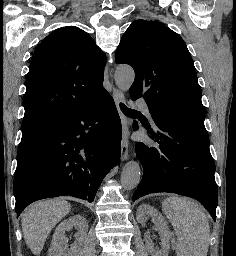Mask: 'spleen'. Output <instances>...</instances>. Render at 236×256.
I'll list each match as a JSON object with an SVG mask.
<instances>
[{
	"label": "spleen",
	"mask_w": 236,
	"mask_h": 256,
	"mask_svg": "<svg viewBox=\"0 0 236 256\" xmlns=\"http://www.w3.org/2000/svg\"><path fill=\"white\" fill-rule=\"evenodd\" d=\"M162 208L178 236L176 256H207L210 228L200 206L188 198L171 196Z\"/></svg>",
	"instance_id": "1"
}]
</instances>
